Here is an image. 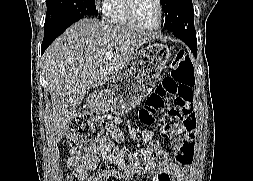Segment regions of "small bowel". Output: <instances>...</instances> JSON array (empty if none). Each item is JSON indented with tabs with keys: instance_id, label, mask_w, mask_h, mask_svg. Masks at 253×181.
Listing matches in <instances>:
<instances>
[{
	"instance_id": "c3829d8e",
	"label": "small bowel",
	"mask_w": 253,
	"mask_h": 181,
	"mask_svg": "<svg viewBox=\"0 0 253 181\" xmlns=\"http://www.w3.org/2000/svg\"><path fill=\"white\" fill-rule=\"evenodd\" d=\"M107 130L111 137L117 142H124L123 133L114 124L107 125ZM192 118L189 116L184 121L176 122L172 125L173 134H185L183 140L178 142L176 147V157L174 160H162L150 167L154 172L149 181H187L190 168L194 161L195 143L193 135ZM97 156L93 153H85L78 148H71L68 151V165L72 171V177L79 181H111L116 177L112 170H102L95 172L97 167ZM137 169L128 166L123 172V178L131 180L136 175Z\"/></svg>"
}]
</instances>
